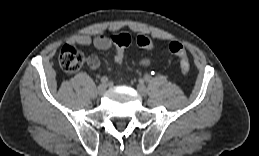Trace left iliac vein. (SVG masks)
<instances>
[{
	"label": "left iliac vein",
	"instance_id": "1",
	"mask_svg": "<svg viewBox=\"0 0 259 156\" xmlns=\"http://www.w3.org/2000/svg\"><path fill=\"white\" fill-rule=\"evenodd\" d=\"M137 91L143 97L147 95V88L143 83L137 85Z\"/></svg>",
	"mask_w": 259,
	"mask_h": 156
}]
</instances>
